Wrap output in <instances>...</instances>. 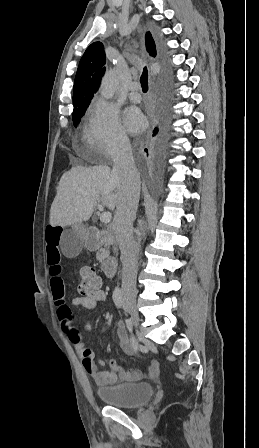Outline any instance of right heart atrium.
<instances>
[{"mask_svg": "<svg viewBox=\"0 0 259 448\" xmlns=\"http://www.w3.org/2000/svg\"><path fill=\"white\" fill-rule=\"evenodd\" d=\"M89 111L92 121L86 134L88 147L98 157H116L128 146L117 112L99 96L92 99Z\"/></svg>", "mask_w": 259, "mask_h": 448, "instance_id": "right-heart-atrium-1", "label": "right heart atrium"}]
</instances>
